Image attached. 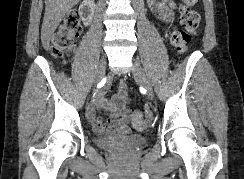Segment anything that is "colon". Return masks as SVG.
I'll use <instances>...</instances> for the list:
<instances>
[{"mask_svg": "<svg viewBox=\"0 0 244 179\" xmlns=\"http://www.w3.org/2000/svg\"><path fill=\"white\" fill-rule=\"evenodd\" d=\"M199 0H184L180 6L179 26L171 33V44L178 53L183 54L189 44L191 37L196 33L200 15L193 8L194 3ZM79 32V22L72 17L61 24L52 38V52L57 58H63L75 47V39ZM131 118L134 128L142 130L145 128L143 120V109L133 108Z\"/></svg>", "mask_w": 244, "mask_h": 179, "instance_id": "obj_1", "label": "colon"}]
</instances>
